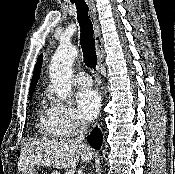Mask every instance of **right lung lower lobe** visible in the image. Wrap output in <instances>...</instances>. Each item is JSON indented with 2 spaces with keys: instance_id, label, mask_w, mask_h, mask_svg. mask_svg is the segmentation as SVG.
Returning a JSON list of instances; mask_svg holds the SVG:
<instances>
[{
  "instance_id": "1",
  "label": "right lung lower lobe",
  "mask_w": 175,
  "mask_h": 174,
  "mask_svg": "<svg viewBox=\"0 0 175 174\" xmlns=\"http://www.w3.org/2000/svg\"><path fill=\"white\" fill-rule=\"evenodd\" d=\"M90 145L95 149H100L102 145V133L99 128H94L91 135L87 138Z\"/></svg>"
}]
</instances>
